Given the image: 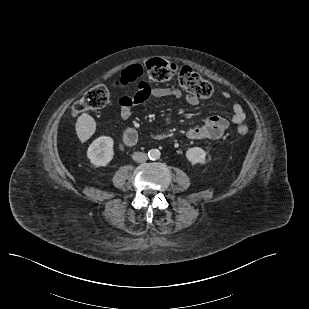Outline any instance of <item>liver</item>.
<instances>
[{"label": "liver", "mask_w": 309, "mask_h": 309, "mask_svg": "<svg viewBox=\"0 0 309 309\" xmlns=\"http://www.w3.org/2000/svg\"><path fill=\"white\" fill-rule=\"evenodd\" d=\"M75 129L79 140L83 143L94 134L96 122L87 113H82L77 119Z\"/></svg>", "instance_id": "1"}]
</instances>
